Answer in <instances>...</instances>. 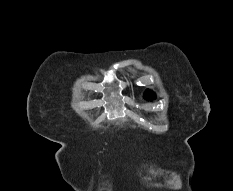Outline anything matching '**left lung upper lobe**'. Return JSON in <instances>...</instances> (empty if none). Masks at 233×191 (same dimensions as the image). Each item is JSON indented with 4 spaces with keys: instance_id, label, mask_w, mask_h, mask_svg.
<instances>
[{
    "instance_id": "obj_1",
    "label": "left lung upper lobe",
    "mask_w": 233,
    "mask_h": 191,
    "mask_svg": "<svg viewBox=\"0 0 233 191\" xmlns=\"http://www.w3.org/2000/svg\"><path fill=\"white\" fill-rule=\"evenodd\" d=\"M154 96H155L154 93L151 92V91H146V92H145V98H146V99H148V98L153 99Z\"/></svg>"
}]
</instances>
